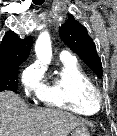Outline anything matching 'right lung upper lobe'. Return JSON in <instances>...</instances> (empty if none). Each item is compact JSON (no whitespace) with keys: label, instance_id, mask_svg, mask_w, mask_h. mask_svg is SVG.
Listing matches in <instances>:
<instances>
[{"label":"right lung upper lobe","instance_id":"cb5924a9","mask_svg":"<svg viewBox=\"0 0 117 136\" xmlns=\"http://www.w3.org/2000/svg\"><path fill=\"white\" fill-rule=\"evenodd\" d=\"M32 37L20 39L14 32L8 31L0 45V67L24 62L30 53Z\"/></svg>","mask_w":117,"mask_h":136}]
</instances>
